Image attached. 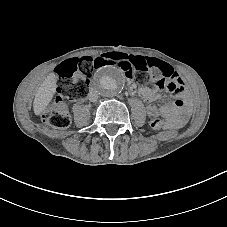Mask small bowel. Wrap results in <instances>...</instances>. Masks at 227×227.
<instances>
[{"label": "small bowel", "mask_w": 227, "mask_h": 227, "mask_svg": "<svg viewBox=\"0 0 227 227\" xmlns=\"http://www.w3.org/2000/svg\"><path fill=\"white\" fill-rule=\"evenodd\" d=\"M184 91V86L181 92ZM139 95L149 103L147 107V113L151 117H158L161 115L170 117L174 119L175 124L181 125L183 124L187 117H188V108L187 104L182 99H178L172 105H155L153 102L159 99V95L157 94L155 89L148 88V87H140L138 90Z\"/></svg>", "instance_id": "c3829d8e"}]
</instances>
